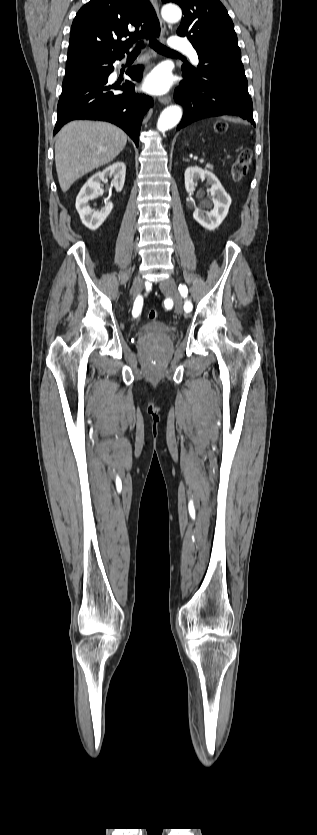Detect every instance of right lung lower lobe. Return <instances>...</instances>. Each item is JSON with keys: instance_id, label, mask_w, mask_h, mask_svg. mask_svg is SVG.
Returning a JSON list of instances; mask_svg holds the SVG:
<instances>
[{"instance_id": "obj_1", "label": "right lung lower lobe", "mask_w": 317, "mask_h": 835, "mask_svg": "<svg viewBox=\"0 0 317 835\" xmlns=\"http://www.w3.org/2000/svg\"><path fill=\"white\" fill-rule=\"evenodd\" d=\"M123 57L104 58L94 52L68 56L66 74L98 63L102 66L97 78L63 87L57 107L54 135L63 125L72 120H102L122 128L138 146L142 119L152 106L153 100L145 94H136L134 84L128 80L122 84L110 85L108 83V76L114 70L112 64ZM127 74L133 80H140L142 66L130 68ZM114 90H122L126 93L114 94Z\"/></svg>"}]
</instances>
